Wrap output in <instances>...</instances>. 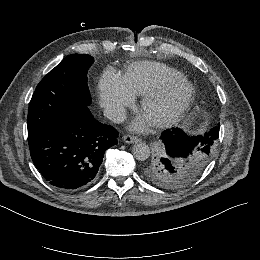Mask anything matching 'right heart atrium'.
Listing matches in <instances>:
<instances>
[{
    "label": "right heart atrium",
    "mask_w": 260,
    "mask_h": 260,
    "mask_svg": "<svg viewBox=\"0 0 260 260\" xmlns=\"http://www.w3.org/2000/svg\"><path fill=\"white\" fill-rule=\"evenodd\" d=\"M99 94L103 106H108L113 103L117 98L115 79L106 72L99 80Z\"/></svg>",
    "instance_id": "1"
}]
</instances>
